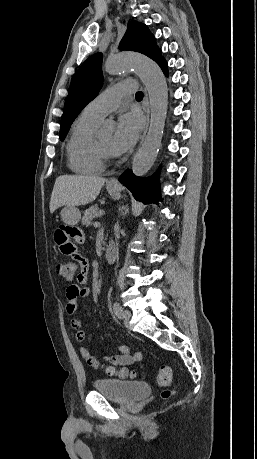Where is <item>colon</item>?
<instances>
[{"label":"colon","mask_w":257,"mask_h":459,"mask_svg":"<svg viewBox=\"0 0 257 459\" xmlns=\"http://www.w3.org/2000/svg\"><path fill=\"white\" fill-rule=\"evenodd\" d=\"M57 230V229H56ZM55 233V232H54ZM81 264H68L66 260L60 261L56 265V274L58 277L66 280L73 281L78 274ZM110 374H117L120 377L133 376V373L127 369H120L118 371L108 368ZM156 382L159 386L168 387L172 382V370L169 366H161L156 373ZM173 392L169 389H164L161 393L163 399H168L172 396Z\"/></svg>","instance_id":"obj_1"}]
</instances>
